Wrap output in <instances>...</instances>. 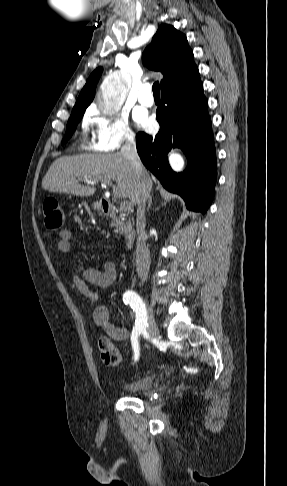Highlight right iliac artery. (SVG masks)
Masks as SVG:
<instances>
[{"mask_svg":"<svg viewBox=\"0 0 287 486\" xmlns=\"http://www.w3.org/2000/svg\"><path fill=\"white\" fill-rule=\"evenodd\" d=\"M123 301L125 304H129L136 314L135 326L133 327L131 340L134 349L135 360H138L139 358L138 337L142 333L144 337L149 338V334L146 331L148 327V323H147V312H146L145 304L143 303L139 295L132 290H128L123 294Z\"/></svg>","mask_w":287,"mask_h":486,"instance_id":"82829eb1","label":"right iliac artery"}]
</instances>
